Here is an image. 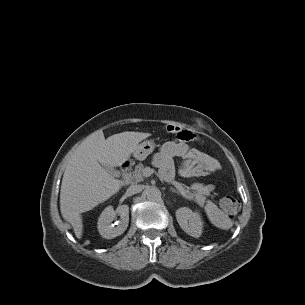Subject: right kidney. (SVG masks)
<instances>
[{"label":"right kidney","instance_id":"right-kidney-1","mask_svg":"<svg viewBox=\"0 0 305 305\" xmlns=\"http://www.w3.org/2000/svg\"><path fill=\"white\" fill-rule=\"evenodd\" d=\"M120 215V220L115 226L112 222L116 215ZM129 223V207L121 205L116 210L112 206L106 207L98 219V231L103 238L112 239L121 234L127 229Z\"/></svg>","mask_w":305,"mask_h":305}]
</instances>
